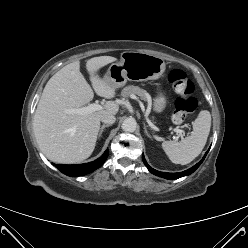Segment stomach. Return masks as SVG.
I'll return each instance as SVG.
<instances>
[{
    "label": "stomach",
    "instance_id": "0dacf381",
    "mask_svg": "<svg viewBox=\"0 0 248 248\" xmlns=\"http://www.w3.org/2000/svg\"><path fill=\"white\" fill-rule=\"evenodd\" d=\"M166 64L158 56L136 51H125L120 61L110 65L104 81L109 85L120 88L127 81L141 82L157 80L164 73ZM154 110L162 112L166 107V98L162 93L154 99Z\"/></svg>",
    "mask_w": 248,
    "mask_h": 248
}]
</instances>
